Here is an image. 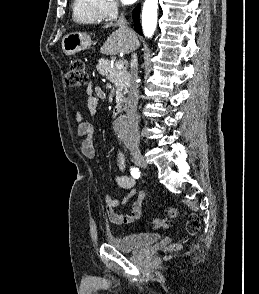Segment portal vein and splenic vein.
<instances>
[{
  "label": "portal vein and splenic vein",
  "instance_id": "obj_1",
  "mask_svg": "<svg viewBox=\"0 0 259 294\" xmlns=\"http://www.w3.org/2000/svg\"><path fill=\"white\" fill-rule=\"evenodd\" d=\"M123 67H124L123 61H117L116 62V68L117 69L121 70V69H123Z\"/></svg>",
  "mask_w": 259,
  "mask_h": 294
}]
</instances>
